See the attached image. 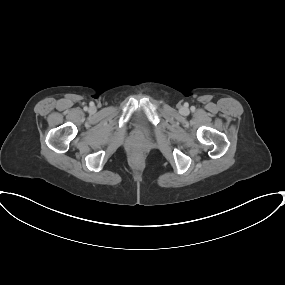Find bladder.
<instances>
[{
    "instance_id": "obj_1",
    "label": "bladder",
    "mask_w": 285,
    "mask_h": 285,
    "mask_svg": "<svg viewBox=\"0 0 285 285\" xmlns=\"http://www.w3.org/2000/svg\"><path fill=\"white\" fill-rule=\"evenodd\" d=\"M134 118H135V122H136L139 130L140 131H144L145 125H146V120H145V117H144L143 113L136 112Z\"/></svg>"
}]
</instances>
